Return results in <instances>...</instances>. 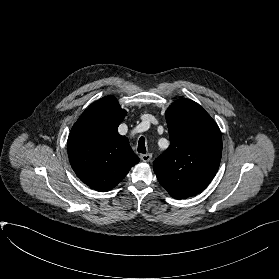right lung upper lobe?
<instances>
[{"instance_id":"cb5924a9","label":"right lung upper lobe","mask_w":279,"mask_h":279,"mask_svg":"<svg viewBox=\"0 0 279 279\" xmlns=\"http://www.w3.org/2000/svg\"><path fill=\"white\" fill-rule=\"evenodd\" d=\"M125 115L115 97H103L85 110L69 134L70 164L78 178L97 191L114 188L139 162L127 137L118 133Z\"/></svg>"}]
</instances>
